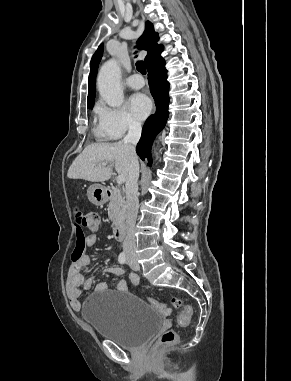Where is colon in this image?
I'll use <instances>...</instances> for the list:
<instances>
[{
    "label": "colon",
    "instance_id": "1",
    "mask_svg": "<svg viewBox=\"0 0 291 381\" xmlns=\"http://www.w3.org/2000/svg\"><path fill=\"white\" fill-rule=\"evenodd\" d=\"M74 221L77 226V238L79 244L73 252L72 257L79 258L82 254L81 241L84 239V231H95L99 225V218L94 213H90L81 208H76L74 210ZM148 302L162 316L166 317L170 314V309L165 304L152 298H148ZM171 303L175 308L180 309V314L177 318L178 325L186 327L193 315V309L189 305L184 304L183 301L177 297H173ZM176 340L177 334L173 330L164 332L159 341L155 344L154 352L157 353L163 348L173 345Z\"/></svg>",
    "mask_w": 291,
    "mask_h": 381
}]
</instances>
